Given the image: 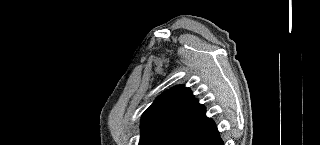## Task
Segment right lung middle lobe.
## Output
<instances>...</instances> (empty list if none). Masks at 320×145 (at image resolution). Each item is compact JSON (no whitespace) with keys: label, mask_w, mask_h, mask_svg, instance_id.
Here are the masks:
<instances>
[{"label":"right lung middle lobe","mask_w":320,"mask_h":145,"mask_svg":"<svg viewBox=\"0 0 320 145\" xmlns=\"http://www.w3.org/2000/svg\"><path fill=\"white\" fill-rule=\"evenodd\" d=\"M175 135L172 134H163V135H157L153 136L144 142L140 143L139 145H168V143L171 141V139Z\"/></svg>","instance_id":"dd1d6c3e"}]
</instances>
